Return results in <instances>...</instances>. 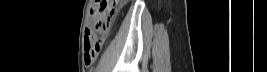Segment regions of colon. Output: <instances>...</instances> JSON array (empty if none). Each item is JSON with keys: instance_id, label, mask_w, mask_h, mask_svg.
Here are the masks:
<instances>
[{"instance_id": "1", "label": "colon", "mask_w": 267, "mask_h": 72, "mask_svg": "<svg viewBox=\"0 0 267 72\" xmlns=\"http://www.w3.org/2000/svg\"><path fill=\"white\" fill-rule=\"evenodd\" d=\"M121 6L120 0H97L93 8L94 25L86 30L85 48L87 60L92 65L100 52L112 22Z\"/></svg>"}]
</instances>
